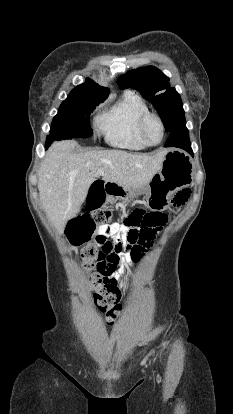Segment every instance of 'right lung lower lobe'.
<instances>
[{
    "label": "right lung lower lobe",
    "instance_id": "right-lung-lower-lobe-1",
    "mask_svg": "<svg viewBox=\"0 0 233 414\" xmlns=\"http://www.w3.org/2000/svg\"><path fill=\"white\" fill-rule=\"evenodd\" d=\"M54 140H56V139L53 136V132L50 131V135H48L47 141H46V148H48Z\"/></svg>",
    "mask_w": 233,
    "mask_h": 414
}]
</instances>
